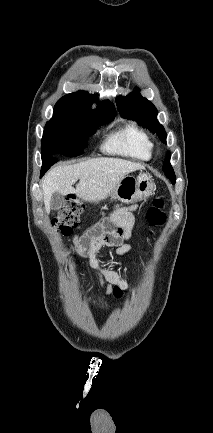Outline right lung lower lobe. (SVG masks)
Returning <instances> with one entry per match:
<instances>
[{"label":"right lung lower lobe","mask_w":213,"mask_h":433,"mask_svg":"<svg viewBox=\"0 0 213 433\" xmlns=\"http://www.w3.org/2000/svg\"><path fill=\"white\" fill-rule=\"evenodd\" d=\"M57 162V157L52 156L47 159H42V168H41V174L40 177H42L45 172L55 163Z\"/></svg>","instance_id":"right-lung-lower-lobe-1"}]
</instances>
